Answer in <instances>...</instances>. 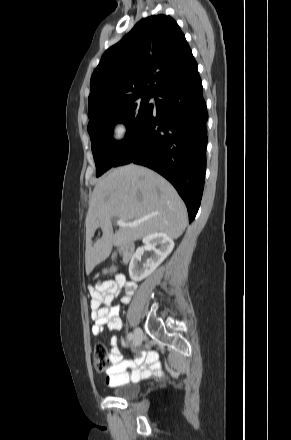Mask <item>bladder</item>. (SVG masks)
<instances>
[{"label": "bladder", "instance_id": "obj_1", "mask_svg": "<svg viewBox=\"0 0 291 440\" xmlns=\"http://www.w3.org/2000/svg\"><path fill=\"white\" fill-rule=\"evenodd\" d=\"M112 395L119 399L129 400L138 395V387L135 383H124L112 390Z\"/></svg>", "mask_w": 291, "mask_h": 440}]
</instances>
